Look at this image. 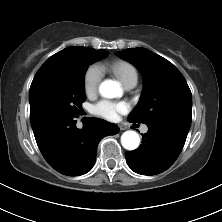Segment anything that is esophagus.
Returning <instances> with one entry per match:
<instances>
[{
    "label": "esophagus",
    "instance_id": "esophagus-1",
    "mask_svg": "<svg viewBox=\"0 0 222 222\" xmlns=\"http://www.w3.org/2000/svg\"><path fill=\"white\" fill-rule=\"evenodd\" d=\"M119 129H120L121 131H124V130H126V127L123 126V125H119Z\"/></svg>",
    "mask_w": 222,
    "mask_h": 222
}]
</instances>
